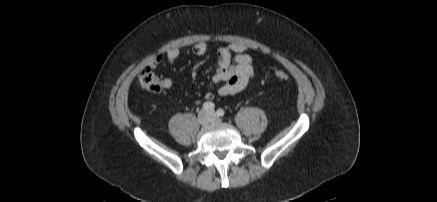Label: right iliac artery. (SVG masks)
Masks as SVG:
<instances>
[{
  "label": "right iliac artery",
  "instance_id": "obj_1",
  "mask_svg": "<svg viewBox=\"0 0 437 202\" xmlns=\"http://www.w3.org/2000/svg\"><path fill=\"white\" fill-rule=\"evenodd\" d=\"M214 107H215V105L212 102H205L203 104V109H205V110H214Z\"/></svg>",
  "mask_w": 437,
  "mask_h": 202
}]
</instances>
